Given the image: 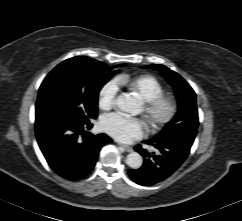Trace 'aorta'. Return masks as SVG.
Segmentation results:
<instances>
[{
  "label": "aorta",
  "mask_w": 242,
  "mask_h": 221,
  "mask_svg": "<svg viewBox=\"0 0 242 221\" xmlns=\"http://www.w3.org/2000/svg\"><path fill=\"white\" fill-rule=\"evenodd\" d=\"M116 104L120 110L124 112H129V113L134 112L137 108L136 99L129 94L124 96H119L116 99ZM142 163H143L142 156L137 152H132L128 154L126 157V164L133 169L140 168L142 166Z\"/></svg>",
  "instance_id": "762f6f07"
}]
</instances>
